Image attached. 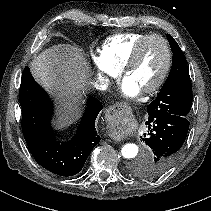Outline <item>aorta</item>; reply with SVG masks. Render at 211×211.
<instances>
[{
    "mask_svg": "<svg viewBox=\"0 0 211 211\" xmlns=\"http://www.w3.org/2000/svg\"><path fill=\"white\" fill-rule=\"evenodd\" d=\"M138 146L133 143H127L125 144L121 149V154L126 159H133L138 154Z\"/></svg>",
    "mask_w": 211,
    "mask_h": 211,
    "instance_id": "762f6f07",
    "label": "aorta"
}]
</instances>
